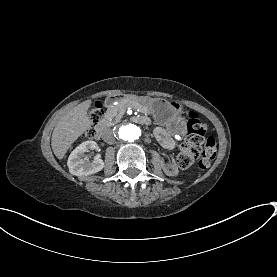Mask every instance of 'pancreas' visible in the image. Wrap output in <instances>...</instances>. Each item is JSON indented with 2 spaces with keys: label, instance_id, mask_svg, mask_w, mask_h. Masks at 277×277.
<instances>
[{
  "label": "pancreas",
  "instance_id": "1",
  "mask_svg": "<svg viewBox=\"0 0 277 277\" xmlns=\"http://www.w3.org/2000/svg\"><path fill=\"white\" fill-rule=\"evenodd\" d=\"M130 109L134 110L141 117H146L150 113L149 106L141 98L131 97L128 101L124 99L111 101L107 105L105 118L108 122L113 123L117 120L118 115L125 116L129 113Z\"/></svg>",
  "mask_w": 277,
  "mask_h": 277
}]
</instances>
